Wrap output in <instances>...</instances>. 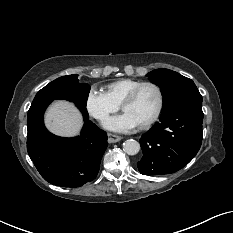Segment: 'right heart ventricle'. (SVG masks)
Wrapping results in <instances>:
<instances>
[{
    "label": "right heart ventricle",
    "mask_w": 233,
    "mask_h": 233,
    "mask_svg": "<svg viewBox=\"0 0 233 233\" xmlns=\"http://www.w3.org/2000/svg\"><path fill=\"white\" fill-rule=\"evenodd\" d=\"M140 83L142 81L128 78L119 79L106 86V94L113 102L120 105L126 95Z\"/></svg>",
    "instance_id": "e07e8e85"
}]
</instances>
